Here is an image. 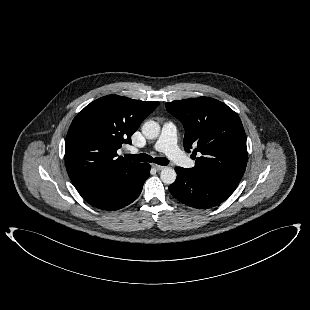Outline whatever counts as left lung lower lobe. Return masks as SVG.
<instances>
[{
	"label": "left lung lower lobe",
	"mask_w": 310,
	"mask_h": 310,
	"mask_svg": "<svg viewBox=\"0 0 310 310\" xmlns=\"http://www.w3.org/2000/svg\"><path fill=\"white\" fill-rule=\"evenodd\" d=\"M177 178L169 186L170 193L180 202L194 208H211L226 200L236 186L224 181L175 168Z\"/></svg>",
	"instance_id": "obj_1"
}]
</instances>
